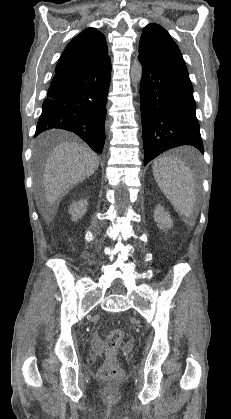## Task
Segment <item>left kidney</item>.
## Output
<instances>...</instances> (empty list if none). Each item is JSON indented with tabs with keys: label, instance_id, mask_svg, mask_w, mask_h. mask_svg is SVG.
Masks as SVG:
<instances>
[{
	"label": "left kidney",
	"instance_id": "obj_1",
	"mask_svg": "<svg viewBox=\"0 0 231 419\" xmlns=\"http://www.w3.org/2000/svg\"><path fill=\"white\" fill-rule=\"evenodd\" d=\"M154 220L160 229L166 230L173 226V221L168 212L164 211V208L159 204L154 210Z\"/></svg>",
	"mask_w": 231,
	"mask_h": 419
}]
</instances>
